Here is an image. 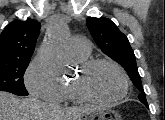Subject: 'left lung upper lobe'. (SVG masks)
<instances>
[{
  "label": "left lung upper lobe",
  "mask_w": 165,
  "mask_h": 120,
  "mask_svg": "<svg viewBox=\"0 0 165 120\" xmlns=\"http://www.w3.org/2000/svg\"><path fill=\"white\" fill-rule=\"evenodd\" d=\"M87 27L102 52L118 62L127 71L133 84L141 91L139 100L148 108L134 52L127 37L108 18H87Z\"/></svg>",
  "instance_id": "1"
}]
</instances>
